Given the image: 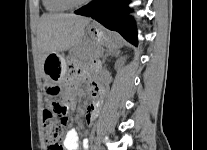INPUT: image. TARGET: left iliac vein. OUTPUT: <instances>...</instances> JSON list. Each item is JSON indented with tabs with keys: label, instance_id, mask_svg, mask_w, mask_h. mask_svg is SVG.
<instances>
[{
	"label": "left iliac vein",
	"instance_id": "left-iliac-vein-1",
	"mask_svg": "<svg viewBox=\"0 0 207 150\" xmlns=\"http://www.w3.org/2000/svg\"><path fill=\"white\" fill-rule=\"evenodd\" d=\"M90 150H97L95 146H91Z\"/></svg>",
	"mask_w": 207,
	"mask_h": 150
}]
</instances>
